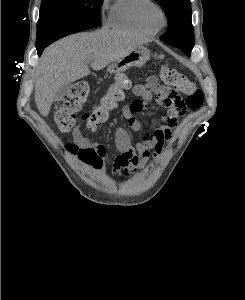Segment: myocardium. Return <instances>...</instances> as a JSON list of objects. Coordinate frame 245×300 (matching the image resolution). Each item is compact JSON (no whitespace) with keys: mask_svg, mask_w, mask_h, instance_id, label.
Masks as SVG:
<instances>
[{"mask_svg":"<svg viewBox=\"0 0 245 300\" xmlns=\"http://www.w3.org/2000/svg\"><path fill=\"white\" fill-rule=\"evenodd\" d=\"M141 17L143 23L154 31H159L167 25L165 11L153 2L142 10Z\"/></svg>","mask_w":245,"mask_h":300,"instance_id":"1","label":"myocardium"}]
</instances>
